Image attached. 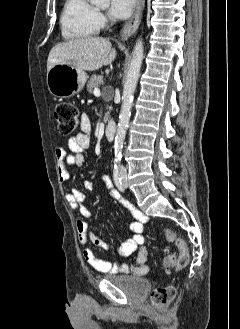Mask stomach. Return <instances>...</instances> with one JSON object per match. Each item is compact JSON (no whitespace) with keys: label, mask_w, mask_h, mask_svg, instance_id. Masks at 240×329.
I'll return each instance as SVG.
<instances>
[{"label":"stomach","mask_w":240,"mask_h":329,"mask_svg":"<svg viewBox=\"0 0 240 329\" xmlns=\"http://www.w3.org/2000/svg\"><path fill=\"white\" fill-rule=\"evenodd\" d=\"M87 74L67 64H56L47 72V86L50 93L59 98H68L81 91Z\"/></svg>","instance_id":"stomach-1"}]
</instances>
